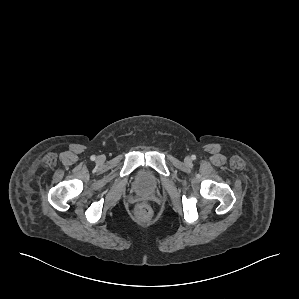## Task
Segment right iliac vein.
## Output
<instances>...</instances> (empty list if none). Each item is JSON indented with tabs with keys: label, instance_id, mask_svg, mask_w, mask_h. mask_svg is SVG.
<instances>
[{
	"label": "right iliac vein",
	"instance_id": "63e3f726",
	"mask_svg": "<svg viewBox=\"0 0 299 299\" xmlns=\"http://www.w3.org/2000/svg\"><path fill=\"white\" fill-rule=\"evenodd\" d=\"M97 161H98V162H102V161H103V158H102V157H98V158H97Z\"/></svg>",
	"mask_w": 299,
	"mask_h": 299
}]
</instances>
